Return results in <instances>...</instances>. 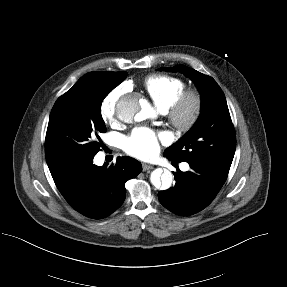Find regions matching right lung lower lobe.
I'll return each mask as SVG.
<instances>
[{
	"label": "right lung lower lobe",
	"mask_w": 287,
	"mask_h": 287,
	"mask_svg": "<svg viewBox=\"0 0 287 287\" xmlns=\"http://www.w3.org/2000/svg\"><path fill=\"white\" fill-rule=\"evenodd\" d=\"M93 158L62 170L53 179L76 211L92 219H102L122 205L126 197L125 182L136 177L142 166L124 156L118 157L115 165L99 167L93 164Z\"/></svg>",
	"instance_id": "1"
}]
</instances>
